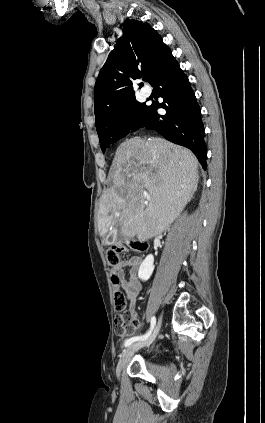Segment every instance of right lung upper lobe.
Masks as SVG:
<instances>
[{
	"label": "right lung upper lobe",
	"mask_w": 265,
	"mask_h": 423,
	"mask_svg": "<svg viewBox=\"0 0 265 423\" xmlns=\"http://www.w3.org/2000/svg\"><path fill=\"white\" fill-rule=\"evenodd\" d=\"M173 59L170 49L148 23L127 19L123 35L110 52L95 83L96 124L120 103L135 96L132 79L141 78L146 73L152 84Z\"/></svg>",
	"instance_id": "cb5924a9"
}]
</instances>
